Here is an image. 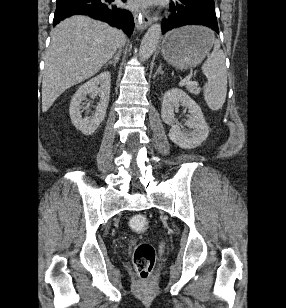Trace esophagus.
Instances as JSON below:
<instances>
[{
    "instance_id": "1",
    "label": "esophagus",
    "mask_w": 286,
    "mask_h": 308,
    "mask_svg": "<svg viewBox=\"0 0 286 308\" xmlns=\"http://www.w3.org/2000/svg\"><path fill=\"white\" fill-rule=\"evenodd\" d=\"M137 29H145L152 23V17L149 10H142L139 14L134 13Z\"/></svg>"
}]
</instances>
